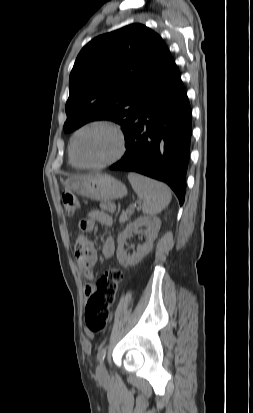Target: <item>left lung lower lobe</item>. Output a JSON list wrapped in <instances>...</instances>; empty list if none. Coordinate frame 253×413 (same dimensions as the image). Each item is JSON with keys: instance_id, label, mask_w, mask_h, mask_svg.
<instances>
[{"instance_id": "obj_1", "label": "left lung lower lobe", "mask_w": 253, "mask_h": 413, "mask_svg": "<svg viewBox=\"0 0 253 413\" xmlns=\"http://www.w3.org/2000/svg\"><path fill=\"white\" fill-rule=\"evenodd\" d=\"M192 111L179 70L172 60L145 96L125 134L127 150L111 170L141 173L167 183L180 205L186 191Z\"/></svg>"}]
</instances>
